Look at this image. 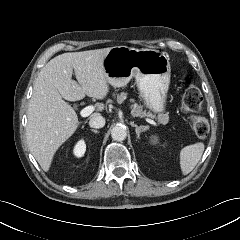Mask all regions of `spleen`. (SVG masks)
Wrapping results in <instances>:
<instances>
[{
	"instance_id": "spleen-1",
	"label": "spleen",
	"mask_w": 240,
	"mask_h": 240,
	"mask_svg": "<svg viewBox=\"0 0 240 240\" xmlns=\"http://www.w3.org/2000/svg\"><path fill=\"white\" fill-rule=\"evenodd\" d=\"M204 147L202 142H198L181 149L180 168L183 175L189 174L195 168L202 157Z\"/></svg>"
}]
</instances>
